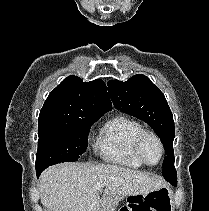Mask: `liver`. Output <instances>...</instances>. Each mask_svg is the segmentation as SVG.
Masks as SVG:
<instances>
[{"label": "liver", "instance_id": "liver-1", "mask_svg": "<svg viewBox=\"0 0 209 211\" xmlns=\"http://www.w3.org/2000/svg\"><path fill=\"white\" fill-rule=\"evenodd\" d=\"M163 186L158 176L121 166L63 163L41 174L40 199L49 211H104L99 197L102 187L109 196L120 199L148 194Z\"/></svg>", "mask_w": 209, "mask_h": 211}]
</instances>
